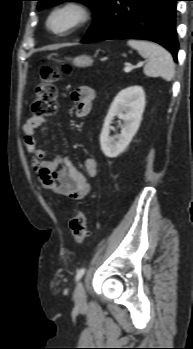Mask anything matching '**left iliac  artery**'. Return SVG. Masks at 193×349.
Wrapping results in <instances>:
<instances>
[{
  "mask_svg": "<svg viewBox=\"0 0 193 349\" xmlns=\"http://www.w3.org/2000/svg\"><path fill=\"white\" fill-rule=\"evenodd\" d=\"M86 271V268H81L77 271V274H76V281H78L80 278H82V276L84 275Z\"/></svg>",
  "mask_w": 193,
  "mask_h": 349,
  "instance_id": "left-iliac-artery-1",
  "label": "left iliac artery"
}]
</instances>
